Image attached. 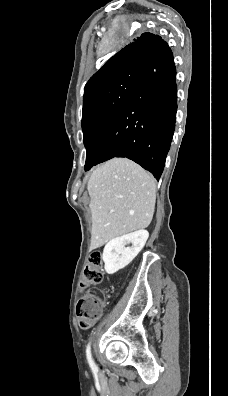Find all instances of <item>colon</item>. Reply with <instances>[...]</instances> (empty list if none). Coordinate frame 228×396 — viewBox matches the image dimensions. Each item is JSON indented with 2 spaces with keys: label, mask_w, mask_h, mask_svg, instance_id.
Returning <instances> with one entry per match:
<instances>
[{
  "label": "colon",
  "mask_w": 228,
  "mask_h": 396,
  "mask_svg": "<svg viewBox=\"0 0 228 396\" xmlns=\"http://www.w3.org/2000/svg\"><path fill=\"white\" fill-rule=\"evenodd\" d=\"M103 277V260L100 252H93L85 265L80 280L81 288H87L101 282ZM105 297L94 292H87L77 304V317L81 327L92 326L101 316Z\"/></svg>",
  "instance_id": "5ec220e1"
}]
</instances>
